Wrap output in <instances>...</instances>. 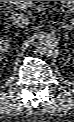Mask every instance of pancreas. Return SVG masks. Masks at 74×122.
Listing matches in <instances>:
<instances>
[{"label":"pancreas","mask_w":74,"mask_h":122,"mask_svg":"<svg viewBox=\"0 0 74 122\" xmlns=\"http://www.w3.org/2000/svg\"><path fill=\"white\" fill-rule=\"evenodd\" d=\"M16 8L26 10L34 7V1H11Z\"/></svg>","instance_id":"pancreas-1"}]
</instances>
